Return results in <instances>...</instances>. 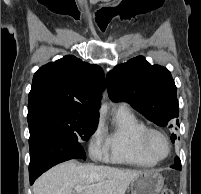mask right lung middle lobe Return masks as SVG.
<instances>
[{
	"label": "right lung middle lobe",
	"mask_w": 201,
	"mask_h": 194,
	"mask_svg": "<svg viewBox=\"0 0 201 194\" xmlns=\"http://www.w3.org/2000/svg\"><path fill=\"white\" fill-rule=\"evenodd\" d=\"M27 120L30 132L46 127L76 141H87L95 132L99 117L78 115L61 102L41 101L28 105ZM77 158L86 160V155L81 153Z\"/></svg>",
	"instance_id": "right-lung-middle-lobe-1"
}]
</instances>
